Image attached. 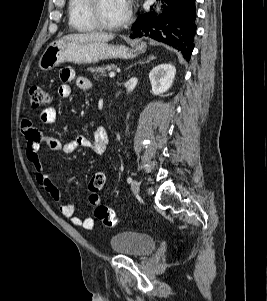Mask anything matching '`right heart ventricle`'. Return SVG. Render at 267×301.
I'll return each mask as SVG.
<instances>
[{
	"mask_svg": "<svg viewBox=\"0 0 267 301\" xmlns=\"http://www.w3.org/2000/svg\"><path fill=\"white\" fill-rule=\"evenodd\" d=\"M89 0H69V26L77 32H94L98 28L90 19L88 12Z\"/></svg>",
	"mask_w": 267,
	"mask_h": 301,
	"instance_id": "obj_1",
	"label": "right heart ventricle"
}]
</instances>
